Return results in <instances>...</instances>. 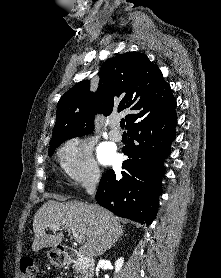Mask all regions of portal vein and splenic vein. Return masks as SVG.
Wrapping results in <instances>:
<instances>
[{
	"mask_svg": "<svg viewBox=\"0 0 221 278\" xmlns=\"http://www.w3.org/2000/svg\"><path fill=\"white\" fill-rule=\"evenodd\" d=\"M52 229L54 230H59L60 226L58 225H53L51 226ZM71 231H72V234L74 236V239L78 242V243H83L84 242V239L83 237L74 229V228H71Z\"/></svg>",
	"mask_w": 221,
	"mask_h": 278,
	"instance_id": "obj_1",
	"label": "portal vein and splenic vein"
}]
</instances>
